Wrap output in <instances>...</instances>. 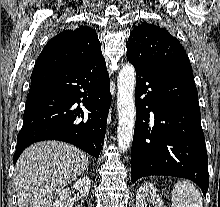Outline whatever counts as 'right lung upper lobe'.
Segmentation results:
<instances>
[{
  "mask_svg": "<svg viewBox=\"0 0 220 207\" xmlns=\"http://www.w3.org/2000/svg\"><path fill=\"white\" fill-rule=\"evenodd\" d=\"M102 55L97 33L88 26L67 29L53 37L39 55L34 69L74 68Z\"/></svg>",
  "mask_w": 220,
  "mask_h": 207,
  "instance_id": "1",
  "label": "right lung upper lobe"
}]
</instances>
